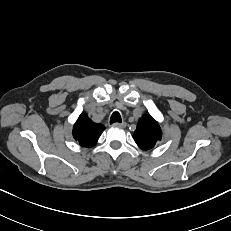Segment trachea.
I'll return each mask as SVG.
<instances>
[{
  "label": "trachea",
  "mask_w": 231,
  "mask_h": 231,
  "mask_svg": "<svg viewBox=\"0 0 231 231\" xmlns=\"http://www.w3.org/2000/svg\"><path fill=\"white\" fill-rule=\"evenodd\" d=\"M115 122L121 123V116L118 112H114L110 118V124H113Z\"/></svg>",
  "instance_id": "obj_1"
}]
</instances>
